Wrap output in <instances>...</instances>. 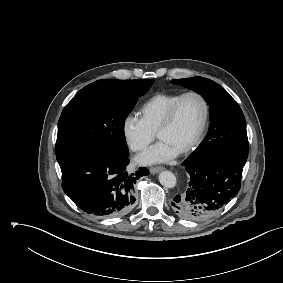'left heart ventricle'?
<instances>
[{
  "mask_svg": "<svg viewBox=\"0 0 283 283\" xmlns=\"http://www.w3.org/2000/svg\"><path fill=\"white\" fill-rule=\"evenodd\" d=\"M203 117V106L194 96L185 98L172 126L160 134L159 139L167 142L178 152L188 146L196 136Z\"/></svg>",
  "mask_w": 283,
  "mask_h": 283,
  "instance_id": "b2bd125f",
  "label": "left heart ventricle"
}]
</instances>
